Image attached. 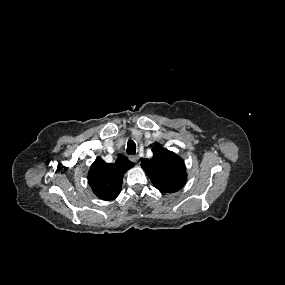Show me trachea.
<instances>
[{
	"instance_id": "3493384b",
	"label": "trachea",
	"mask_w": 285,
	"mask_h": 285,
	"mask_svg": "<svg viewBox=\"0 0 285 285\" xmlns=\"http://www.w3.org/2000/svg\"><path fill=\"white\" fill-rule=\"evenodd\" d=\"M126 152L128 155L136 153V144L133 140L128 141Z\"/></svg>"
}]
</instances>
